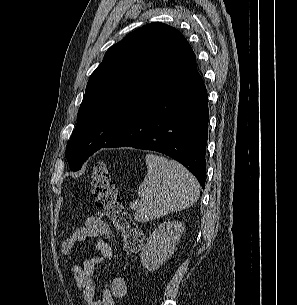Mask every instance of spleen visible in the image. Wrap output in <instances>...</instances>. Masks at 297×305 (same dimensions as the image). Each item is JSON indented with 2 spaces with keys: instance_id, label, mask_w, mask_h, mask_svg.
<instances>
[{
  "instance_id": "spleen-1",
  "label": "spleen",
  "mask_w": 297,
  "mask_h": 305,
  "mask_svg": "<svg viewBox=\"0 0 297 305\" xmlns=\"http://www.w3.org/2000/svg\"><path fill=\"white\" fill-rule=\"evenodd\" d=\"M147 176L139 185L142 199L134 219L148 222L193 205L200 194L196 178L181 164L163 156L147 154Z\"/></svg>"
}]
</instances>
